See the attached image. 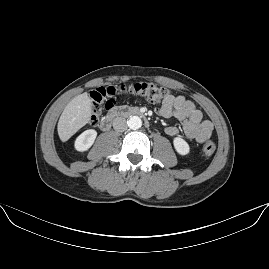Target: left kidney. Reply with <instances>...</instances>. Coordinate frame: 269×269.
Here are the masks:
<instances>
[{
    "mask_svg": "<svg viewBox=\"0 0 269 269\" xmlns=\"http://www.w3.org/2000/svg\"><path fill=\"white\" fill-rule=\"evenodd\" d=\"M173 144L176 151L181 155H187L190 151L188 143L180 137L174 138Z\"/></svg>",
    "mask_w": 269,
    "mask_h": 269,
    "instance_id": "5707ae66",
    "label": "left kidney"
}]
</instances>
